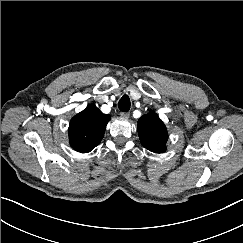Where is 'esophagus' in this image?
<instances>
[{"mask_svg":"<svg viewBox=\"0 0 243 243\" xmlns=\"http://www.w3.org/2000/svg\"><path fill=\"white\" fill-rule=\"evenodd\" d=\"M120 115H121V117H123L125 119L129 118V116H130V114L128 112H121Z\"/></svg>","mask_w":243,"mask_h":243,"instance_id":"1","label":"esophagus"}]
</instances>
